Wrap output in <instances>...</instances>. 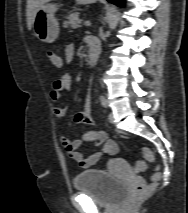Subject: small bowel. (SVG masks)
I'll return each instance as SVG.
<instances>
[{
    "label": "small bowel",
    "mask_w": 188,
    "mask_h": 213,
    "mask_svg": "<svg viewBox=\"0 0 188 213\" xmlns=\"http://www.w3.org/2000/svg\"><path fill=\"white\" fill-rule=\"evenodd\" d=\"M75 54V46L68 44L64 50V57L66 61H71ZM58 63H55L50 59L51 63L55 67H61L63 65V59L57 55ZM72 87V79L69 75H64L58 80L54 81L50 91V99L52 101H58L61 98L62 92L70 91ZM67 108L65 106H56L53 109L55 118L61 120L65 116ZM72 120L75 124H87L90 126H97V120L91 113L90 99L86 98L84 103V109L81 112L76 113ZM84 142H92L96 146H100L101 149L95 151L89 155H85L79 149ZM61 143L67 152L70 159L77 162L83 168H89L95 165L102 155H114L118 151L117 143L109 138L108 134L102 130H90L85 132L79 139H69L63 136Z\"/></svg>",
    "instance_id": "small-bowel-1"
}]
</instances>
